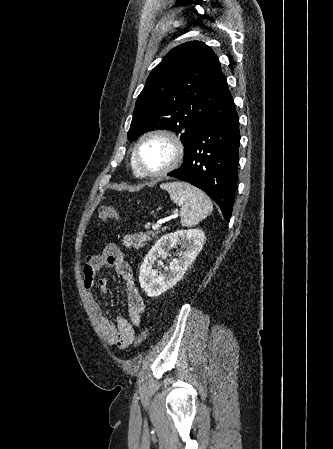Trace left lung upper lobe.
<instances>
[{"mask_svg": "<svg viewBox=\"0 0 333 449\" xmlns=\"http://www.w3.org/2000/svg\"><path fill=\"white\" fill-rule=\"evenodd\" d=\"M226 85L209 46L190 41L173 48L151 71L136 101L128 139L166 128L180 136L187 153L208 108Z\"/></svg>", "mask_w": 333, "mask_h": 449, "instance_id": "obj_1", "label": "left lung upper lobe"}]
</instances>
